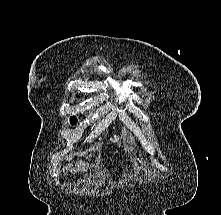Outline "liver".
Segmentation results:
<instances>
[{
  "label": "liver",
  "instance_id": "liver-1",
  "mask_svg": "<svg viewBox=\"0 0 221 215\" xmlns=\"http://www.w3.org/2000/svg\"><path fill=\"white\" fill-rule=\"evenodd\" d=\"M81 170H85V166L83 164V167L82 168H78L77 171H81Z\"/></svg>",
  "mask_w": 221,
  "mask_h": 215
}]
</instances>
